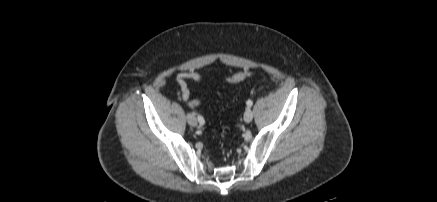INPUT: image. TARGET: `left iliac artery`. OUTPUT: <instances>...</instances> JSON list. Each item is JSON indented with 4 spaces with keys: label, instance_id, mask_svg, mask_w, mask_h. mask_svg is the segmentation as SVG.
Returning a JSON list of instances; mask_svg holds the SVG:
<instances>
[{
    "label": "left iliac artery",
    "instance_id": "1",
    "mask_svg": "<svg viewBox=\"0 0 437 202\" xmlns=\"http://www.w3.org/2000/svg\"><path fill=\"white\" fill-rule=\"evenodd\" d=\"M246 104H247L248 107H251L252 104H253V102H252L251 100H248V101L246 102Z\"/></svg>",
    "mask_w": 437,
    "mask_h": 202
}]
</instances>
